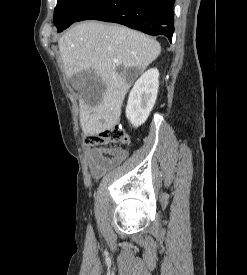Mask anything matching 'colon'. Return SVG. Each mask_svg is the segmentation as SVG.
Wrapping results in <instances>:
<instances>
[{"mask_svg": "<svg viewBox=\"0 0 247 275\" xmlns=\"http://www.w3.org/2000/svg\"><path fill=\"white\" fill-rule=\"evenodd\" d=\"M126 143H128V137L120 126H114L99 134H89L84 138V145L87 147Z\"/></svg>", "mask_w": 247, "mask_h": 275, "instance_id": "colon-1", "label": "colon"}]
</instances>
